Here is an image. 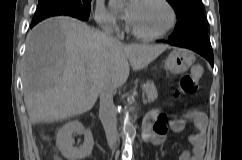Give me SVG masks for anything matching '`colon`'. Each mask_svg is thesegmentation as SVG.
<instances>
[{
    "instance_id": "5ec220e1",
    "label": "colon",
    "mask_w": 242,
    "mask_h": 160,
    "mask_svg": "<svg viewBox=\"0 0 242 160\" xmlns=\"http://www.w3.org/2000/svg\"><path fill=\"white\" fill-rule=\"evenodd\" d=\"M203 69L200 65H194L191 68L189 74L184 75L179 85L176 89V93L178 94H191L195 92L198 88V82L202 77ZM167 117L164 113H160L155 122H154V129L158 132H164L166 126Z\"/></svg>"
}]
</instances>
